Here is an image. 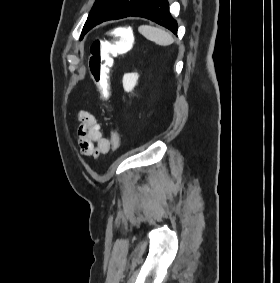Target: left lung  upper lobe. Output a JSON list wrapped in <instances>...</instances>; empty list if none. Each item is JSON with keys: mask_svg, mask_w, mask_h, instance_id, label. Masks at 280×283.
<instances>
[{"mask_svg": "<svg viewBox=\"0 0 280 283\" xmlns=\"http://www.w3.org/2000/svg\"><path fill=\"white\" fill-rule=\"evenodd\" d=\"M146 0H96L82 30L81 38L103 21L127 17Z\"/></svg>", "mask_w": 280, "mask_h": 283, "instance_id": "left-lung-upper-lobe-1", "label": "left lung upper lobe"}]
</instances>
